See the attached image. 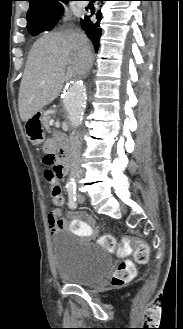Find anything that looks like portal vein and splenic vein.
<instances>
[{"label": "portal vein and splenic vein", "mask_w": 183, "mask_h": 329, "mask_svg": "<svg viewBox=\"0 0 183 329\" xmlns=\"http://www.w3.org/2000/svg\"><path fill=\"white\" fill-rule=\"evenodd\" d=\"M53 123H54V120L51 119V120L49 121V124H50V125H53Z\"/></svg>", "instance_id": "portal-vein-and-splenic-vein-1"}]
</instances>
